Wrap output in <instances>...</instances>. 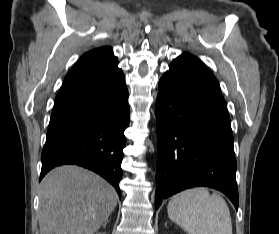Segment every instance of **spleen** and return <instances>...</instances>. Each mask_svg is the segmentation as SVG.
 <instances>
[{
	"instance_id": "obj_1",
	"label": "spleen",
	"mask_w": 279,
	"mask_h": 234,
	"mask_svg": "<svg viewBox=\"0 0 279 234\" xmlns=\"http://www.w3.org/2000/svg\"><path fill=\"white\" fill-rule=\"evenodd\" d=\"M169 218L188 234H232L225 200L206 188L189 189L174 195L167 206Z\"/></svg>"
}]
</instances>
